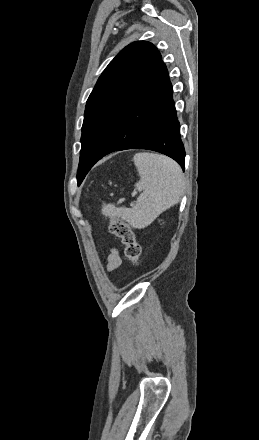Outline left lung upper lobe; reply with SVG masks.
I'll return each instance as SVG.
<instances>
[{
	"label": "left lung upper lobe",
	"mask_w": 259,
	"mask_h": 440,
	"mask_svg": "<svg viewBox=\"0 0 259 440\" xmlns=\"http://www.w3.org/2000/svg\"><path fill=\"white\" fill-rule=\"evenodd\" d=\"M160 60L153 44L134 42L121 50L99 77L85 108L78 185L150 82Z\"/></svg>",
	"instance_id": "left-lung-upper-lobe-1"
}]
</instances>
